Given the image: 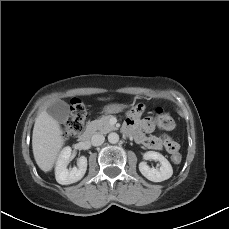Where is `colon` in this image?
I'll use <instances>...</instances> for the list:
<instances>
[{
  "label": "colon",
  "instance_id": "5ec220e1",
  "mask_svg": "<svg viewBox=\"0 0 229 229\" xmlns=\"http://www.w3.org/2000/svg\"><path fill=\"white\" fill-rule=\"evenodd\" d=\"M86 108L80 99H73L70 105V114L64 125V135L66 137L78 136L85 130L86 124ZM161 123L166 128L174 127V121L170 116L161 118ZM165 148L172 154V160L175 163H180L181 155L178 153L179 146L175 141L167 140Z\"/></svg>",
  "mask_w": 229,
  "mask_h": 229
}]
</instances>
